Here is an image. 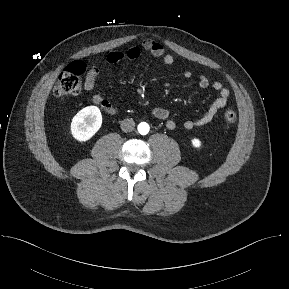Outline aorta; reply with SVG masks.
Listing matches in <instances>:
<instances>
[{
	"label": "aorta",
	"mask_w": 289,
	"mask_h": 289,
	"mask_svg": "<svg viewBox=\"0 0 289 289\" xmlns=\"http://www.w3.org/2000/svg\"><path fill=\"white\" fill-rule=\"evenodd\" d=\"M149 125L146 122H142L138 125V132L142 135H146L149 132Z\"/></svg>",
	"instance_id": "1"
}]
</instances>
